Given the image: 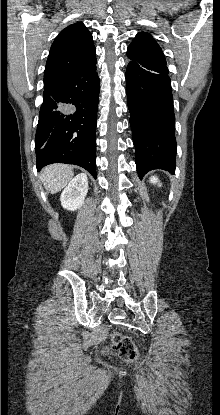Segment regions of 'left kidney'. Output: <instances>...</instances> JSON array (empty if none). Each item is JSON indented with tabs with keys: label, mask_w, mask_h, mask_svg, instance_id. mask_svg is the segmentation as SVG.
Wrapping results in <instances>:
<instances>
[{
	"label": "left kidney",
	"mask_w": 220,
	"mask_h": 415,
	"mask_svg": "<svg viewBox=\"0 0 220 415\" xmlns=\"http://www.w3.org/2000/svg\"><path fill=\"white\" fill-rule=\"evenodd\" d=\"M150 182L152 183V184H157L158 183V186L159 187H161V183H160V181L158 180V177L157 176H151L150 177Z\"/></svg>",
	"instance_id": "5707ae66"
}]
</instances>
